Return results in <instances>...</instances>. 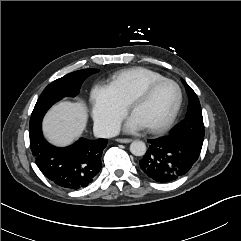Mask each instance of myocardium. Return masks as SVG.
Masks as SVG:
<instances>
[{
    "instance_id": "1",
    "label": "myocardium",
    "mask_w": 241,
    "mask_h": 241,
    "mask_svg": "<svg viewBox=\"0 0 241 241\" xmlns=\"http://www.w3.org/2000/svg\"><path fill=\"white\" fill-rule=\"evenodd\" d=\"M164 83H170L173 84L178 92V100H177V104L175 106V109L172 113V115L170 116V118L162 125L159 126H149L146 127L148 131L152 132V133H163L166 132L167 130H169L173 124L175 123L181 107H182V103H183V92L182 89L180 87V85L172 80V79H168V78H163L160 80H156L153 81L151 83H149L147 86H145L130 102L129 104V110L130 113L133 114V111L135 110V108L140 105L141 103H143L144 101H146L149 96L151 95V93L160 85L164 84Z\"/></svg>"
}]
</instances>
